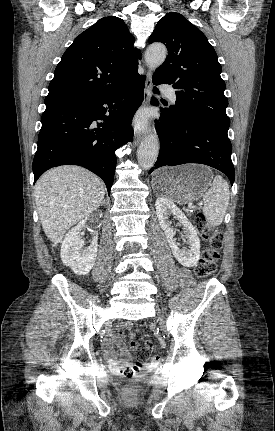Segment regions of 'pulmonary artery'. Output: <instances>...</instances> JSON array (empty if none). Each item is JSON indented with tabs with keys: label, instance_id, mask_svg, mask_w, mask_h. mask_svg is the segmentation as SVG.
<instances>
[{
	"label": "pulmonary artery",
	"instance_id": "1",
	"mask_svg": "<svg viewBox=\"0 0 275 431\" xmlns=\"http://www.w3.org/2000/svg\"><path fill=\"white\" fill-rule=\"evenodd\" d=\"M161 91L163 93H165V94L168 95V97H169V99L171 100L172 103L176 102V94H175L174 90L170 86L162 85L161 86Z\"/></svg>",
	"mask_w": 275,
	"mask_h": 431
}]
</instances>
